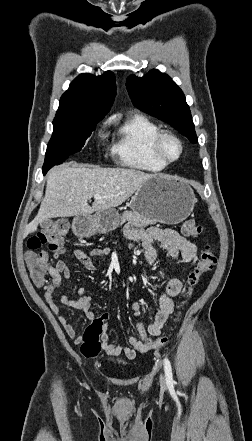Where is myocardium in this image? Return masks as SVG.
Masks as SVG:
<instances>
[{"instance_id":"1","label":"myocardium","mask_w":252,"mask_h":441,"mask_svg":"<svg viewBox=\"0 0 252 441\" xmlns=\"http://www.w3.org/2000/svg\"><path fill=\"white\" fill-rule=\"evenodd\" d=\"M166 139H171L179 145V154L173 159L166 158L162 152V144ZM151 151L155 159L167 166L181 159L184 153V144L182 140L174 133L166 130H160L152 140Z\"/></svg>"}]
</instances>
